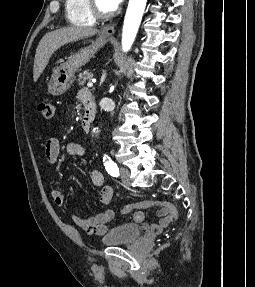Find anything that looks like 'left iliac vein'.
<instances>
[{"instance_id": "4c4485c4", "label": "left iliac vein", "mask_w": 255, "mask_h": 287, "mask_svg": "<svg viewBox=\"0 0 255 287\" xmlns=\"http://www.w3.org/2000/svg\"><path fill=\"white\" fill-rule=\"evenodd\" d=\"M129 176H130L129 169L126 168V167H121V169H120V179H121L125 184H128V183H129Z\"/></svg>"}]
</instances>
